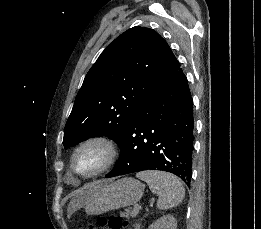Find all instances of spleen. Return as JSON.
Segmentation results:
<instances>
[{
  "mask_svg": "<svg viewBox=\"0 0 261 229\" xmlns=\"http://www.w3.org/2000/svg\"><path fill=\"white\" fill-rule=\"evenodd\" d=\"M136 177L147 183L154 195H159L158 209H172L182 203L185 197V189L179 177L165 171H141Z\"/></svg>",
  "mask_w": 261,
  "mask_h": 229,
  "instance_id": "obj_1",
  "label": "spleen"
}]
</instances>
